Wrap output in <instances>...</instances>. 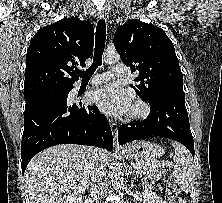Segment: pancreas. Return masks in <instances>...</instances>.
Masks as SVG:
<instances>
[{"label": "pancreas", "instance_id": "pancreas-1", "mask_svg": "<svg viewBox=\"0 0 222 203\" xmlns=\"http://www.w3.org/2000/svg\"><path fill=\"white\" fill-rule=\"evenodd\" d=\"M140 164L137 167V172L141 175H146L153 179H160L167 173L166 165L164 162H159L156 160H142L138 161Z\"/></svg>", "mask_w": 222, "mask_h": 203}]
</instances>
